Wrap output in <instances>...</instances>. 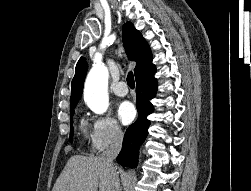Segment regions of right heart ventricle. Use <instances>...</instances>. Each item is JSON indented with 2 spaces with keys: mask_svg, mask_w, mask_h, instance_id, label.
<instances>
[{
  "mask_svg": "<svg viewBox=\"0 0 251 191\" xmlns=\"http://www.w3.org/2000/svg\"><path fill=\"white\" fill-rule=\"evenodd\" d=\"M80 129H81V132L84 136L87 135V129H86V123L84 120L81 121L80 123Z\"/></svg>",
  "mask_w": 251,
  "mask_h": 191,
  "instance_id": "obj_1",
  "label": "right heart ventricle"
}]
</instances>
